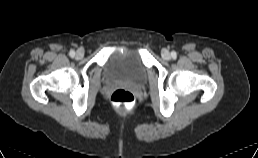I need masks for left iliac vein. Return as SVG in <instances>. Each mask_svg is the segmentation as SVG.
<instances>
[{
	"instance_id": "obj_1",
	"label": "left iliac vein",
	"mask_w": 258,
	"mask_h": 158,
	"mask_svg": "<svg viewBox=\"0 0 258 158\" xmlns=\"http://www.w3.org/2000/svg\"><path fill=\"white\" fill-rule=\"evenodd\" d=\"M162 57L165 60H170L171 59V54H170V52L167 49H163L162 50Z\"/></svg>"
}]
</instances>
